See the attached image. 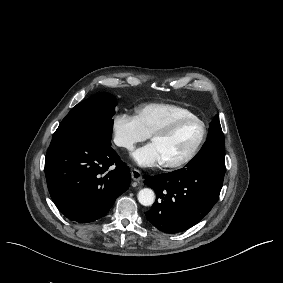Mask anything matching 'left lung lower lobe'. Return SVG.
Here are the masks:
<instances>
[{
	"mask_svg": "<svg viewBox=\"0 0 283 283\" xmlns=\"http://www.w3.org/2000/svg\"><path fill=\"white\" fill-rule=\"evenodd\" d=\"M209 147V146H208ZM225 152L207 147L185 168L147 178L157 199L147 220L165 233H178L197 224L219 198L225 174Z\"/></svg>",
	"mask_w": 283,
	"mask_h": 283,
	"instance_id": "obj_1",
	"label": "left lung lower lobe"
}]
</instances>
